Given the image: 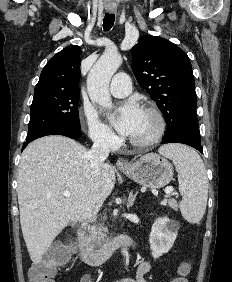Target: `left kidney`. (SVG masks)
I'll use <instances>...</instances> for the list:
<instances>
[{
  "mask_svg": "<svg viewBox=\"0 0 232 282\" xmlns=\"http://www.w3.org/2000/svg\"><path fill=\"white\" fill-rule=\"evenodd\" d=\"M178 228L179 224L167 217L158 218L154 221L149 236L153 258H159L173 247L178 235Z\"/></svg>",
  "mask_w": 232,
  "mask_h": 282,
  "instance_id": "1",
  "label": "left kidney"
}]
</instances>
